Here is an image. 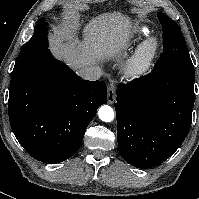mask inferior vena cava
Here are the masks:
<instances>
[{"label": "inferior vena cava", "mask_w": 199, "mask_h": 199, "mask_svg": "<svg viewBox=\"0 0 199 199\" xmlns=\"http://www.w3.org/2000/svg\"><path fill=\"white\" fill-rule=\"evenodd\" d=\"M79 75L84 80L95 81L101 76V69L99 67L88 66L79 70Z\"/></svg>", "instance_id": "602c4592"}]
</instances>
